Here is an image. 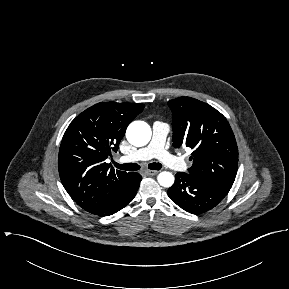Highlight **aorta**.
Instances as JSON below:
<instances>
[{"label": "aorta", "mask_w": 289, "mask_h": 289, "mask_svg": "<svg viewBox=\"0 0 289 289\" xmlns=\"http://www.w3.org/2000/svg\"><path fill=\"white\" fill-rule=\"evenodd\" d=\"M151 135V128L144 121H134L126 130V138L128 142L136 147H142L148 144ZM157 180L161 186L166 188H169L174 184V176L168 171L159 173Z\"/></svg>", "instance_id": "1"}]
</instances>
